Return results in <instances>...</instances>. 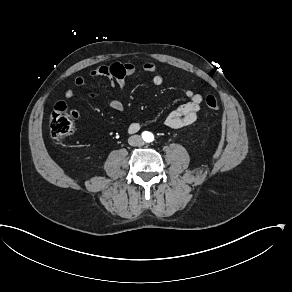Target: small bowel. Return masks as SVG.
<instances>
[{"label": "small bowel", "mask_w": 292, "mask_h": 292, "mask_svg": "<svg viewBox=\"0 0 292 292\" xmlns=\"http://www.w3.org/2000/svg\"><path fill=\"white\" fill-rule=\"evenodd\" d=\"M139 69L145 73L154 74L152 79L154 85L159 86L163 83V77L159 74H155L156 65L154 63L146 62L142 64ZM137 70L138 67L133 63L115 62L111 65L98 66L89 72V76L107 79L111 89H115L116 85L124 89L127 78L134 75ZM86 81L87 78L85 76L79 75L74 79V84L77 87H82L86 84ZM185 95L189 101L166 116L164 123L168 128L180 129L196 122L202 103V96L191 88L186 89ZM73 96V89H67L65 91L66 98L70 99ZM88 97L96 98L98 94L96 92H90ZM108 104L110 108L116 112H122L124 110L123 103L113 95L110 96ZM131 128H137V124H132Z\"/></svg>", "instance_id": "small-bowel-1"}]
</instances>
